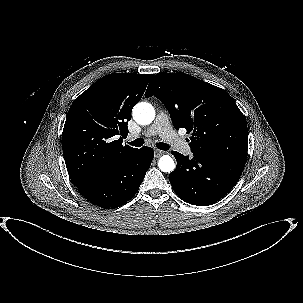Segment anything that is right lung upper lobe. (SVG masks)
<instances>
[{"instance_id": "1", "label": "right lung upper lobe", "mask_w": 303, "mask_h": 303, "mask_svg": "<svg viewBox=\"0 0 303 303\" xmlns=\"http://www.w3.org/2000/svg\"><path fill=\"white\" fill-rule=\"evenodd\" d=\"M153 74L112 73L92 84L72 103L62 133L68 174L78 188L132 156L122 145L134 105ZM116 135H121L118 140Z\"/></svg>"}]
</instances>
